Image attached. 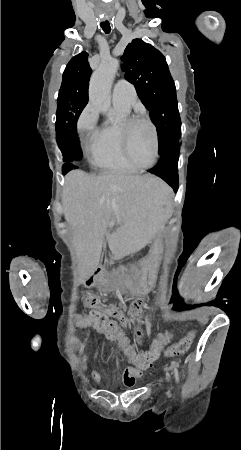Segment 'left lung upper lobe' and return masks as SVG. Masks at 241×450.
I'll return each mask as SVG.
<instances>
[{
    "label": "left lung upper lobe",
    "instance_id": "1",
    "mask_svg": "<svg viewBox=\"0 0 241 450\" xmlns=\"http://www.w3.org/2000/svg\"><path fill=\"white\" fill-rule=\"evenodd\" d=\"M121 61L126 80L134 84L157 127L162 156L178 144L181 134L176 88L166 59L152 45L134 39L127 45Z\"/></svg>",
    "mask_w": 241,
    "mask_h": 450
}]
</instances>
